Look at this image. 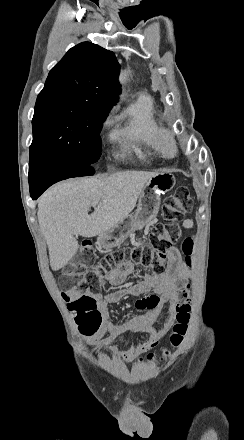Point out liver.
<instances>
[{
  "label": "liver",
  "mask_w": 244,
  "mask_h": 440,
  "mask_svg": "<svg viewBox=\"0 0 244 440\" xmlns=\"http://www.w3.org/2000/svg\"><path fill=\"white\" fill-rule=\"evenodd\" d=\"M155 172H117L109 178H72L49 188L38 200V222L51 270L67 266L79 246L75 236L93 238L123 222L134 210ZM99 202L95 212H88Z\"/></svg>",
  "instance_id": "1"
}]
</instances>
